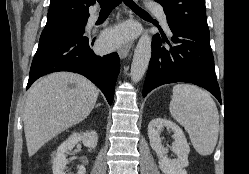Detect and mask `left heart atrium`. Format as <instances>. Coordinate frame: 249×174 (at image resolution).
Here are the masks:
<instances>
[{"instance_id":"left-heart-atrium-1","label":"left heart atrium","mask_w":249,"mask_h":174,"mask_svg":"<svg viewBox=\"0 0 249 174\" xmlns=\"http://www.w3.org/2000/svg\"><path fill=\"white\" fill-rule=\"evenodd\" d=\"M133 30L130 27H118L109 32L104 36L103 43L107 47L116 46L124 37L132 34Z\"/></svg>"}]
</instances>
